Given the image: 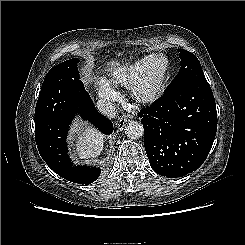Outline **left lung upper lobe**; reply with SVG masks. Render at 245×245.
Wrapping results in <instances>:
<instances>
[{
    "label": "left lung upper lobe",
    "mask_w": 245,
    "mask_h": 245,
    "mask_svg": "<svg viewBox=\"0 0 245 245\" xmlns=\"http://www.w3.org/2000/svg\"><path fill=\"white\" fill-rule=\"evenodd\" d=\"M178 51L181 58V68L166 90H171L199 78H205L197 57L184 49H178Z\"/></svg>",
    "instance_id": "left-lung-upper-lobe-1"
}]
</instances>
